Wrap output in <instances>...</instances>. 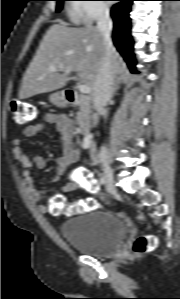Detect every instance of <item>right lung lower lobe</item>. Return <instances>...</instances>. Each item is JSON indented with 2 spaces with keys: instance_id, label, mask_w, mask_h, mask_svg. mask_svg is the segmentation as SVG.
<instances>
[{
  "instance_id": "98d812e1",
  "label": "right lung lower lobe",
  "mask_w": 180,
  "mask_h": 299,
  "mask_svg": "<svg viewBox=\"0 0 180 299\" xmlns=\"http://www.w3.org/2000/svg\"><path fill=\"white\" fill-rule=\"evenodd\" d=\"M119 1V3L113 6L111 11V16L114 22L112 34L113 42L126 61L130 71L137 73L133 54V40L130 34L131 23L128 16L133 0Z\"/></svg>"
}]
</instances>
